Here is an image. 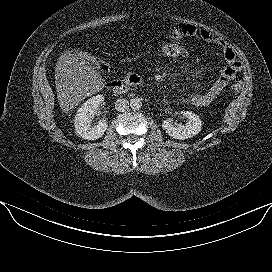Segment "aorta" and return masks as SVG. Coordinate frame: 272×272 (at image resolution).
<instances>
[{"instance_id": "aorta-1", "label": "aorta", "mask_w": 272, "mask_h": 272, "mask_svg": "<svg viewBox=\"0 0 272 272\" xmlns=\"http://www.w3.org/2000/svg\"><path fill=\"white\" fill-rule=\"evenodd\" d=\"M130 107L134 111L139 110L142 107V100L138 97L132 98L130 100Z\"/></svg>"}]
</instances>
